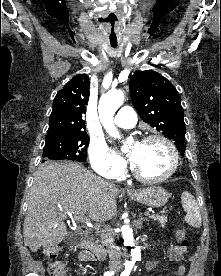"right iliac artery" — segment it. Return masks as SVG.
I'll return each mask as SVG.
<instances>
[{
	"label": "right iliac artery",
	"mask_w": 221,
	"mask_h": 276,
	"mask_svg": "<svg viewBox=\"0 0 221 276\" xmlns=\"http://www.w3.org/2000/svg\"><path fill=\"white\" fill-rule=\"evenodd\" d=\"M114 275V272H106L105 274H104V276H113Z\"/></svg>",
	"instance_id": "1"
}]
</instances>
